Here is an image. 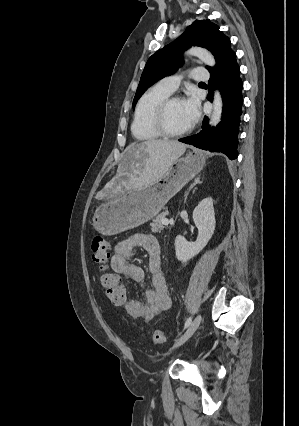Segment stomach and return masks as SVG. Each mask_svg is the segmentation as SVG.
I'll use <instances>...</instances> for the list:
<instances>
[{"mask_svg": "<svg viewBox=\"0 0 299 426\" xmlns=\"http://www.w3.org/2000/svg\"><path fill=\"white\" fill-rule=\"evenodd\" d=\"M205 155L197 150L178 157L155 182L133 187L102 203L94 212V229L106 236L136 228L155 217L165 204L204 167Z\"/></svg>", "mask_w": 299, "mask_h": 426, "instance_id": "stomach-1", "label": "stomach"}]
</instances>
